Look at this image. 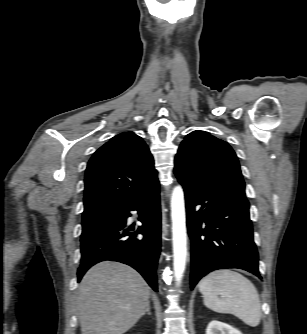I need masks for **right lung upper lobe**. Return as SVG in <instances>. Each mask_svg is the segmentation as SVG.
<instances>
[{
    "label": "right lung upper lobe",
    "instance_id": "right-lung-upper-lobe-1",
    "mask_svg": "<svg viewBox=\"0 0 307 334\" xmlns=\"http://www.w3.org/2000/svg\"><path fill=\"white\" fill-rule=\"evenodd\" d=\"M157 184L154 160L142 138L133 132L116 135L88 162L83 216L116 214Z\"/></svg>",
    "mask_w": 307,
    "mask_h": 334
}]
</instances>
